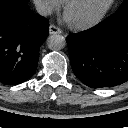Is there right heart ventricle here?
<instances>
[{"label": "right heart ventricle", "mask_w": 128, "mask_h": 128, "mask_svg": "<svg viewBox=\"0 0 128 128\" xmlns=\"http://www.w3.org/2000/svg\"><path fill=\"white\" fill-rule=\"evenodd\" d=\"M62 2H65L66 0H61Z\"/></svg>", "instance_id": "e07e8e85"}]
</instances>
